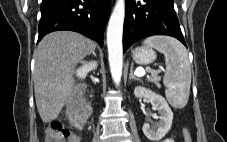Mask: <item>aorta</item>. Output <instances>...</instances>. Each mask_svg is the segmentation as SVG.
I'll return each mask as SVG.
<instances>
[{
  "mask_svg": "<svg viewBox=\"0 0 227 142\" xmlns=\"http://www.w3.org/2000/svg\"><path fill=\"white\" fill-rule=\"evenodd\" d=\"M125 17V1L117 0L107 28L108 59L112 79L120 84L123 68L122 34Z\"/></svg>",
  "mask_w": 227,
  "mask_h": 142,
  "instance_id": "762f6f07",
  "label": "aorta"
}]
</instances>
